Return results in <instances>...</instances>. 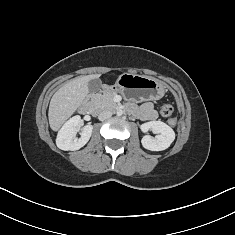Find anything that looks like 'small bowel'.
I'll use <instances>...</instances> for the list:
<instances>
[{
	"label": "small bowel",
	"mask_w": 235,
	"mask_h": 235,
	"mask_svg": "<svg viewBox=\"0 0 235 235\" xmlns=\"http://www.w3.org/2000/svg\"><path fill=\"white\" fill-rule=\"evenodd\" d=\"M137 116L146 121H152L156 118V112L152 103H144L136 112Z\"/></svg>",
	"instance_id": "obj_1"
}]
</instances>
